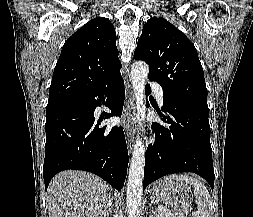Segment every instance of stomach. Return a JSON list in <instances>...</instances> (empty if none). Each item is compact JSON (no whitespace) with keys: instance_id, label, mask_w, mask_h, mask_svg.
<instances>
[{"instance_id":"stomach-1","label":"stomach","mask_w":253,"mask_h":217,"mask_svg":"<svg viewBox=\"0 0 253 217\" xmlns=\"http://www.w3.org/2000/svg\"><path fill=\"white\" fill-rule=\"evenodd\" d=\"M152 199L162 201L175 212L177 217H187L192 197L188 187L169 177L158 180L150 189Z\"/></svg>"}]
</instances>
